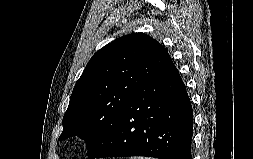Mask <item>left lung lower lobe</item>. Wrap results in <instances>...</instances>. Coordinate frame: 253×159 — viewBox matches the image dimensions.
I'll list each match as a JSON object with an SVG mask.
<instances>
[{
    "label": "left lung lower lobe",
    "instance_id": "0a47b994",
    "mask_svg": "<svg viewBox=\"0 0 253 159\" xmlns=\"http://www.w3.org/2000/svg\"><path fill=\"white\" fill-rule=\"evenodd\" d=\"M193 110L186 87L171 62L121 112L91 159L148 156L191 159Z\"/></svg>",
    "mask_w": 253,
    "mask_h": 159
}]
</instances>
